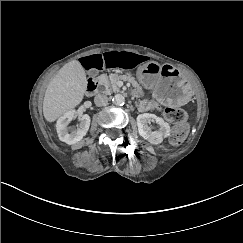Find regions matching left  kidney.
<instances>
[{
  "mask_svg": "<svg viewBox=\"0 0 243 243\" xmlns=\"http://www.w3.org/2000/svg\"><path fill=\"white\" fill-rule=\"evenodd\" d=\"M151 120H155L159 128L156 131H151L147 123ZM138 132L141 137L147 140L150 144H161L163 138H167L170 135V125L163 118L156 117L151 113H143L137 116Z\"/></svg>",
  "mask_w": 243,
  "mask_h": 243,
  "instance_id": "left-kidney-1",
  "label": "left kidney"
}]
</instances>
